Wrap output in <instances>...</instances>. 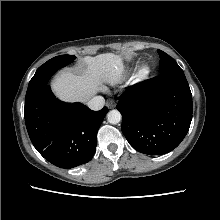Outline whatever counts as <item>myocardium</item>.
I'll use <instances>...</instances> for the list:
<instances>
[{"mask_svg": "<svg viewBox=\"0 0 220 220\" xmlns=\"http://www.w3.org/2000/svg\"><path fill=\"white\" fill-rule=\"evenodd\" d=\"M151 72V68L148 64H142L141 66L138 67L135 77H134V82L135 83H141L145 81Z\"/></svg>", "mask_w": 220, "mask_h": 220, "instance_id": "f54148a6", "label": "myocardium"}]
</instances>
